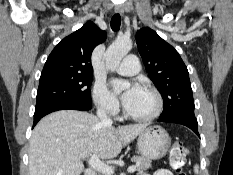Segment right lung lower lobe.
<instances>
[{
    "instance_id": "1",
    "label": "right lung lower lobe",
    "mask_w": 233,
    "mask_h": 175,
    "mask_svg": "<svg viewBox=\"0 0 233 175\" xmlns=\"http://www.w3.org/2000/svg\"><path fill=\"white\" fill-rule=\"evenodd\" d=\"M68 109L87 111L91 109V105L62 103V104H51L44 106L40 109L35 110L33 127L45 115L54 111L68 110Z\"/></svg>"
}]
</instances>
